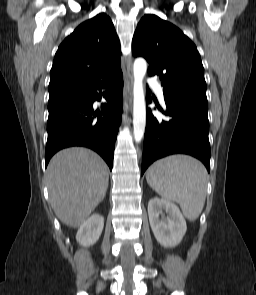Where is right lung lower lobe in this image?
<instances>
[{
	"instance_id": "1",
	"label": "right lung lower lobe",
	"mask_w": 256,
	"mask_h": 295,
	"mask_svg": "<svg viewBox=\"0 0 256 295\" xmlns=\"http://www.w3.org/2000/svg\"><path fill=\"white\" fill-rule=\"evenodd\" d=\"M122 92L123 75L119 71L90 84L49 94L46 166L60 149L85 146L99 153L112 169L121 123ZM102 94L107 103L101 106V111L94 110L93 103Z\"/></svg>"
}]
</instances>
